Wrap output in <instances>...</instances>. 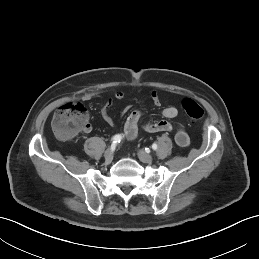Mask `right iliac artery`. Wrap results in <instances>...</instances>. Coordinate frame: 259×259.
<instances>
[{"label":"right iliac artery","instance_id":"right-iliac-artery-1","mask_svg":"<svg viewBox=\"0 0 259 259\" xmlns=\"http://www.w3.org/2000/svg\"><path fill=\"white\" fill-rule=\"evenodd\" d=\"M122 135H115L113 138H112V145H116V144H118V143H120L121 142V140H122Z\"/></svg>","mask_w":259,"mask_h":259}]
</instances>
